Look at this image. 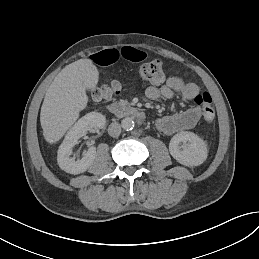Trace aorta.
Listing matches in <instances>:
<instances>
[{"label": "aorta", "mask_w": 259, "mask_h": 259, "mask_svg": "<svg viewBox=\"0 0 259 259\" xmlns=\"http://www.w3.org/2000/svg\"><path fill=\"white\" fill-rule=\"evenodd\" d=\"M121 126L124 130L130 131L134 128V121L131 117H126L121 121Z\"/></svg>", "instance_id": "762f6f07"}]
</instances>
